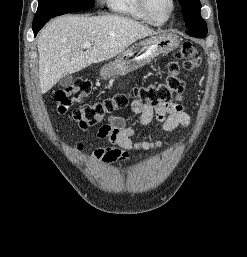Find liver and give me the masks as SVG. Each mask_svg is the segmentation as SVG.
Here are the masks:
<instances>
[{"mask_svg":"<svg viewBox=\"0 0 247 257\" xmlns=\"http://www.w3.org/2000/svg\"><path fill=\"white\" fill-rule=\"evenodd\" d=\"M155 34L137 21L118 15H66L54 19L37 40L41 93H47L64 74L109 60L137 40ZM85 42L92 46L83 51Z\"/></svg>","mask_w":247,"mask_h":257,"instance_id":"6515ba94","label":"liver"}]
</instances>
